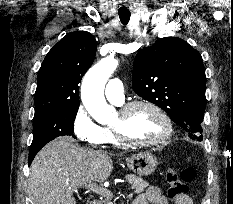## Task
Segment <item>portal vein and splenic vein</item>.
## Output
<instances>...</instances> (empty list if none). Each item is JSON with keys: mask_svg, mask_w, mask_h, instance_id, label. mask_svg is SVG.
<instances>
[{"mask_svg": "<svg viewBox=\"0 0 233 204\" xmlns=\"http://www.w3.org/2000/svg\"><path fill=\"white\" fill-rule=\"evenodd\" d=\"M84 187L87 190L92 191V192L99 194V195H102V196H106V197L113 196V193L111 191H109L108 189H105L103 187H100L95 183H89V184L85 185ZM128 197L131 198L132 194H130Z\"/></svg>", "mask_w": 233, "mask_h": 204, "instance_id": "18ae733b", "label": "portal vein and splenic vein"}]
</instances>
